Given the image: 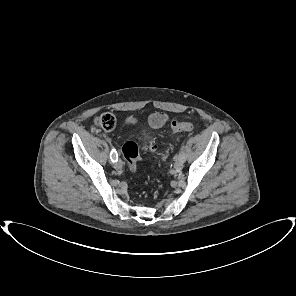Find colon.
<instances>
[{"mask_svg":"<svg viewBox=\"0 0 296 296\" xmlns=\"http://www.w3.org/2000/svg\"><path fill=\"white\" fill-rule=\"evenodd\" d=\"M94 124L96 129L111 131L114 129L116 121L115 117L112 114L106 113L98 116L95 119ZM193 128L194 125L191 122L173 121L170 125V130L172 133L189 132L192 131ZM149 149L151 151H154L156 149V146L154 144H150ZM121 152L128 164L130 171L134 172L136 164L139 162V152L137 144L133 141H127L123 144Z\"/></svg>","mask_w":296,"mask_h":296,"instance_id":"5ec220e1","label":"colon"}]
</instances>
